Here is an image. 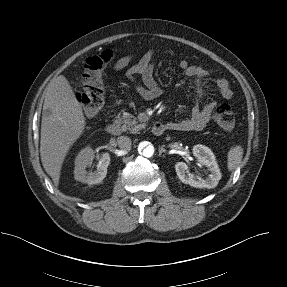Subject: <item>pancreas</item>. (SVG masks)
Here are the masks:
<instances>
[{
  "label": "pancreas",
  "instance_id": "pancreas-1",
  "mask_svg": "<svg viewBox=\"0 0 287 287\" xmlns=\"http://www.w3.org/2000/svg\"><path fill=\"white\" fill-rule=\"evenodd\" d=\"M115 122L121 126L122 131H130L132 133H137L139 130L145 128V124H137L138 122L131 114H123V116L117 117Z\"/></svg>",
  "mask_w": 287,
  "mask_h": 287
}]
</instances>
